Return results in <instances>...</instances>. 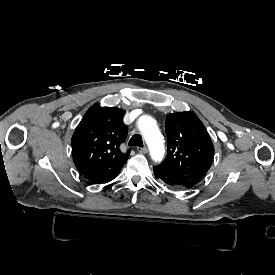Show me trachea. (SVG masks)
Returning a JSON list of instances; mask_svg holds the SVG:
<instances>
[{"instance_id": "1", "label": "trachea", "mask_w": 275, "mask_h": 275, "mask_svg": "<svg viewBox=\"0 0 275 275\" xmlns=\"http://www.w3.org/2000/svg\"><path fill=\"white\" fill-rule=\"evenodd\" d=\"M129 146H138V147H143V141L142 138L139 134H134L130 141L128 142Z\"/></svg>"}]
</instances>
